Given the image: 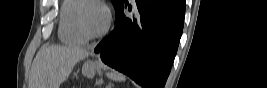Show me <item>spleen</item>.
<instances>
[{
    "instance_id": "1",
    "label": "spleen",
    "mask_w": 267,
    "mask_h": 88,
    "mask_svg": "<svg viewBox=\"0 0 267 88\" xmlns=\"http://www.w3.org/2000/svg\"><path fill=\"white\" fill-rule=\"evenodd\" d=\"M106 76L113 81H125L126 77L118 72H108Z\"/></svg>"
}]
</instances>
